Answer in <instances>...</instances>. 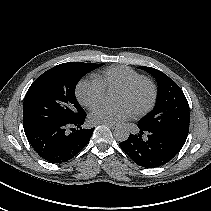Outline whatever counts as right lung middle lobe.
I'll list each match as a JSON object with an SVG mask.
<instances>
[{
	"mask_svg": "<svg viewBox=\"0 0 211 211\" xmlns=\"http://www.w3.org/2000/svg\"><path fill=\"white\" fill-rule=\"evenodd\" d=\"M102 65L69 62L40 75L26 93L23 126L67 123L83 116L85 111L75 97L76 84L82 76Z\"/></svg>",
	"mask_w": 211,
	"mask_h": 211,
	"instance_id": "dd1d6c3e",
	"label": "right lung middle lobe"
}]
</instances>
